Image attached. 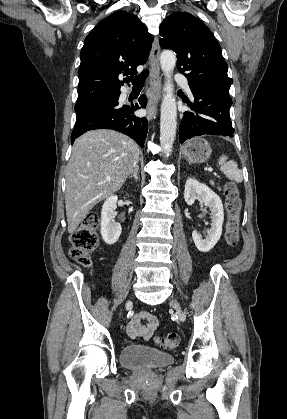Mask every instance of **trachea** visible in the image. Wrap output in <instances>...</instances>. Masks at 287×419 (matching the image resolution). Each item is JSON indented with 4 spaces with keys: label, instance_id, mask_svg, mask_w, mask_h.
Returning <instances> with one entry per match:
<instances>
[{
    "label": "trachea",
    "instance_id": "1",
    "mask_svg": "<svg viewBox=\"0 0 287 419\" xmlns=\"http://www.w3.org/2000/svg\"><path fill=\"white\" fill-rule=\"evenodd\" d=\"M149 71L144 70L141 74L135 77L126 78V82H132L134 88H142L145 82V79L148 76Z\"/></svg>",
    "mask_w": 287,
    "mask_h": 419
}]
</instances>
